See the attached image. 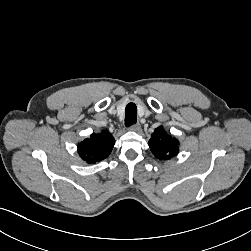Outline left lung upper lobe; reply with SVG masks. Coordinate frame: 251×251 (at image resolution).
Returning <instances> with one entry per match:
<instances>
[{"instance_id": "obj_1", "label": "left lung upper lobe", "mask_w": 251, "mask_h": 251, "mask_svg": "<svg viewBox=\"0 0 251 251\" xmlns=\"http://www.w3.org/2000/svg\"><path fill=\"white\" fill-rule=\"evenodd\" d=\"M149 146L154 156L160 160L170 159L179 152L178 141L168 135L162 126L155 129Z\"/></svg>"}]
</instances>
